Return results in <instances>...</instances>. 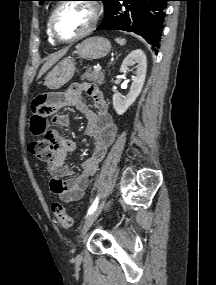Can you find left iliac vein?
<instances>
[{
  "label": "left iliac vein",
  "mask_w": 216,
  "mask_h": 285,
  "mask_svg": "<svg viewBox=\"0 0 216 285\" xmlns=\"http://www.w3.org/2000/svg\"><path fill=\"white\" fill-rule=\"evenodd\" d=\"M104 207V201L86 218L82 228V236L88 231L93 222L97 219Z\"/></svg>",
  "instance_id": "4c4485c4"
}]
</instances>
